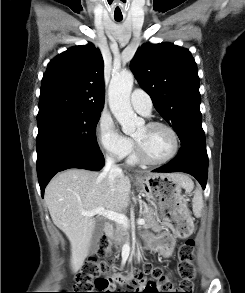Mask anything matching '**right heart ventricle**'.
Returning a JSON list of instances; mask_svg holds the SVG:
<instances>
[{
    "label": "right heart ventricle",
    "mask_w": 245,
    "mask_h": 293,
    "mask_svg": "<svg viewBox=\"0 0 245 293\" xmlns=\"http://www.w3.org/2000/svg\"><path fill=\"white\" fill-rule=\"evenodd\" d=\"M129 163L131 164H135L137 163L139 160L137 159L136 155L135 154H132L129 156V159H128Z\"/></svg>",
    "instance_id": "e07e8e85"
}]
</instances>
